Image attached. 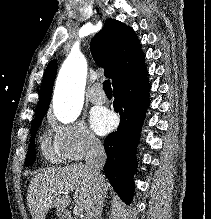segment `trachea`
Segmentation results:
<instances>
[{"instance_id":"1","label":"trachea","mask_w":211,"mask_h":219,"mask_svg":"<svg viewBox=\"0 0 211 219\" xmlns=\"http://www.w3.org/2000/svg\"><path fill=\"white\" fill-rule=\"evenodd\" d=\"M103 88L105 92H112L110 80H105L103 82Z\"/></svg>"}]
</instances>
